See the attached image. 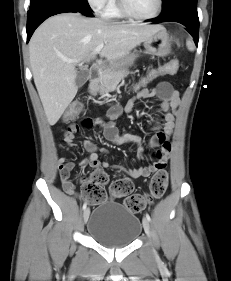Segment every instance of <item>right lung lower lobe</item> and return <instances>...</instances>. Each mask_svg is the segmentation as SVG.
I'll list each match as a JSON object with an SVG mask.
<instances>
[{"label": "right lung lower lobe", "instance_id": "1", "mask_svg": "<svg viewBox=\"0 0 231 281\" xmlns=\"http://www.w3.org/2000/svg\"><path fill=\"white\" fill-rule=\"evenodd\" d=\"M66 12H80L85 16L93 17L86 0H30L27 13V42L45 19Z\"/></svg>", "mask_w": 231, "mask_h": 281}]
</instances>
